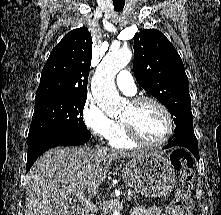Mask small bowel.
<instances>
[{
    "instance_id": "obj_1",
    "label": "small bowel",
    "mask_w": 221,
    "mask_h": 215,
    "mask_svg": "<svg viewBox=\"0 0 221 215\" xmlns=\"http://www.w3.org/2000/svg\"><path fill=\"white\" fill-rule=\"evenodd\" d=\"M132 215H179L173 207H168L161 210L158 207L142 208L138 207L133 210Z\"/></svg>"
}]
</instances>
